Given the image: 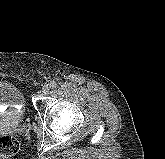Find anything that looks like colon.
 <instances>
[{
  "instance_id": "obj_1",
  "label": "colon",
  "mask_w": 165,
  "mask_h": 159,
  "mask_svg": "<svg viewBox=\"0 0 165 159\" xmlns=\"http://www.w3.org/2000/svg\"><path fill=\"white\" fill-rule=\"evenodd\" d=\"M19 150L18 141L9 135L0 137V159H6L17 153Z\"/></svg>"
}]
</instances>
